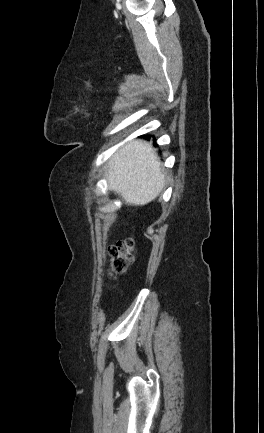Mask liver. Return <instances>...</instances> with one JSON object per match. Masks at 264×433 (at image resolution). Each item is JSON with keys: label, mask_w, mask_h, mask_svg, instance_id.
<instances>
[{"label": "liver", "mask_w": 264, "mask_h": 433, "mask_svg": "<svg viewBox=\"0 0 264 433\" xmlns=\"http://www.w3.org/2000/svg\"><path fill=\"white\" fill-rule=\"evenodd\" d=\"M106 177L109 189L133 206L150 203L165 182L156 149L142 140L129 142L110 158Z\"/></svg>", "instance_id": "liver-1"}]
</instances>
